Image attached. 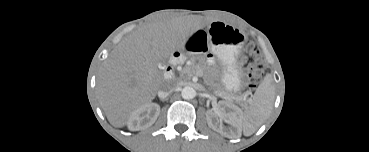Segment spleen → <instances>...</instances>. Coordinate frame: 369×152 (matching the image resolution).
Instances as JSON below:
<instances>
[{"mask_svg":"<svg viewBox=\"0 0 369 152\" xmlns=\"http://www.w3.org/2000/svg\"><path fill=\"white\" fill-rule=\"evenodd\" d=\"M274 101L271 78L266 76L257 88L251 105L244 112L242 127L249 134L254 133L269 116Z\"/></svg>","mask_w":369,"mask_h":152,"instance_id":"1","label":"spleen"}]
</instances>
